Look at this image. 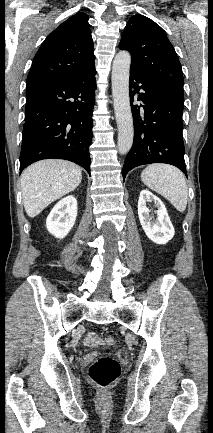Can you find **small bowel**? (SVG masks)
Segmentation results:
<instances>
[{
	"instance_id": "c3829d8e",
	"label": "small bowel",
	"mask_w": 213,
	"mask_h": 433,
	"mask_svg": "<svg viewBox=\"0 0 213 433\" xmlns=\"http://www.w3.org/2000/svg\"><path fill=\"white\" fill-rule=\"evenodd\" d=\"M102 343L101 338L95 332H89L84 338V344L87 346H97Z\"/></svg>"
}]
</instances>
